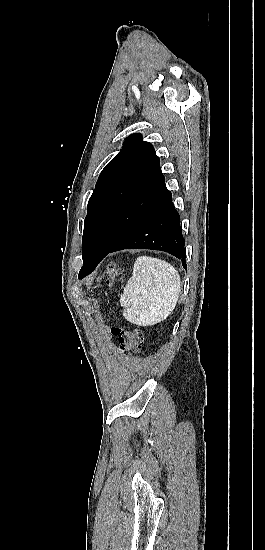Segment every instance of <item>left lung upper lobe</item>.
Masks as SVG:
<instances>
[{
	"label": "left lung upper lobe",
	"mask_w": 265,
	"mask_h": 550,
	"mask_svg": "<svg viewBox=\"0 0 265 550\" xmlns=\"http://www.w3.org/2000/svg\"><path fill=\"white\" fill-rule=\"evenodd\" d=\"M167 192L154 147L139 134L130 135L102 170L89 199L83 259L93 249L109 250Z\"/></svg>",
	"instance_id": "left-lung-upper-lobe-1"
}]
</instances>
